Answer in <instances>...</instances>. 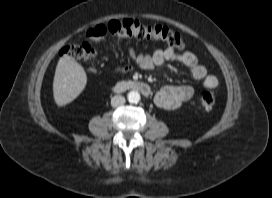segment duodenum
Masks as SVG:
<instances>
[{"mask_svg": "<svg viewBox=\"0 0 272 198\" xmlns=\"http://www.w3.org/2000/svg\"><path fill=\"white\" fill-rule=\"evenodd\" d=\"M111 90L115 93H122L128 90H135L140 92L145 97H149L151 95L150 86L143 81H121L112 86Z\"/></svg>", "mask_w": 272, "mask_h": 198, "instance_id": "1", "label": "duodenum"}]
</instances>
